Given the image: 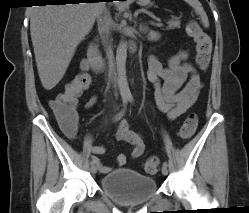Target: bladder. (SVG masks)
<instances>
[{
    "label": "bladder",
    "mask_w": 249,
    "mask_h": 213,
    "mask_svg": "<svg viewBox=\"0 0 249 213\" xmlns=\"http://www.w3.org/2000/svg\"><path fill=\"white\" fill-rule=\"evenodd\" d=\"M100 189L121 205H138L157 192L154 178L130 168L117 169L100 179Z\"/></svg>",
    "instance_id": "31cf9c89"
}]
</instances>
